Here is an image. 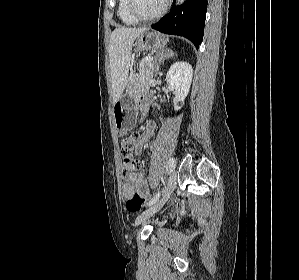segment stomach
<instances>
[{
  "instance_id": "1",
  "label": "stomach",
  "mask_w": 299,
  "mask_h": 280,
  "mask_svg": "<svg viewBox=\"0 0 299 280\" xmlns=\"http://www.w3.org/2000/svg\"><path fill=\"white\" fill-rule=\"evenodd\" d=\"M167 45V39L157 32L146 31L134 42V46L140 51H160ZM134 99L132 96H121L113 106V114L116 127L120 130H128L134 125Z\"/></svg>"
}]
</instances>
